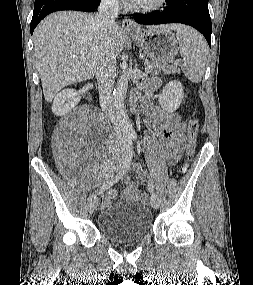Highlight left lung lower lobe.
<instances>
[{"label": "left lung lower lobe", "mask_w": 253, "mask_h": 285, "mask_svg": "<svg viewBox=\"0 0 253 285\" xmlns=\"http://www.w3.org/2000/svg\"><path fill=\"white\" fill-rule=\"evenodd\" d=\"M140 24L182 23L201 32L211 47L212 25L208 0H166L161 10L151 14H133Z\"/></svg>", "instance_id": "1"}]
</instances>
